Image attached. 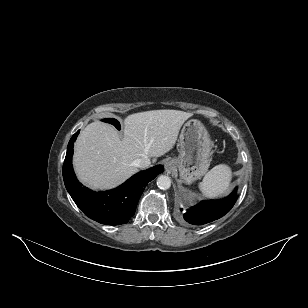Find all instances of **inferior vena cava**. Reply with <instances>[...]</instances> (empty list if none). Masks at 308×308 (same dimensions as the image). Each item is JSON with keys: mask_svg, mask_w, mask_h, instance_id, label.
<instances>
[{"mask_svg": "<svg viewBox=\"0 0 308 308\" xmlns=\"http://www.w3.org/2000/svg\"><path fill=\"white\" fill-rule=\"evenodd\" d=\"M134 164L138 168L145 169L151 165V161L148 157H143V158L135 160Z\"/></svg>", "mask_w": 308, "mask_h": 308, "instance_id": "inferior-vena-cava-1", "label": "inferior vena cava"}]
</instances>
